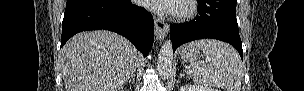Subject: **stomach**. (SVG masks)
Masks as SVG:
<instances>
[{
  "instance_id": "1",
  "label": "stomach",
  "mask_w": 304,
  "mask_h": 91,
  "mask_svg": "<svg viewBox=\"0 0 304 91\" xmlns=\"http://www.w3.org/2000/svg\"><path fill=\"white\" fill-rule=\"evenodd\" d=\"M179 53L185 62H194L201 56V50L196 47L195 42L184 45Z\"/></svg>"
}]
</instances>
